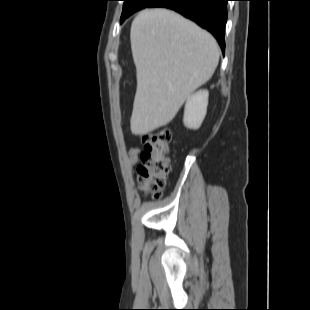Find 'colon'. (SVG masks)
I'll use <instances>...</instances> for the list:
<instances>
[{
  "instance_id": "5ec220e1",
  "label": "colon",
  "mask_w": 310,
  "mask_h": 310,
  "mask_svg": "<svg viewBox=\"0 0 310 310\" xmlns=\"http://www.w3.org/2000/svg\"><path fill=\"white\" fill-rule=\"evenodd\" d=\"M171 132L159 129L143 136L142 164L137 168L140 188L157 197L165 186L170 171L169 143Z\"/></svg>"
}]
</instances>
